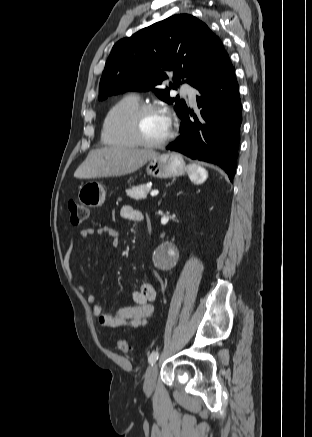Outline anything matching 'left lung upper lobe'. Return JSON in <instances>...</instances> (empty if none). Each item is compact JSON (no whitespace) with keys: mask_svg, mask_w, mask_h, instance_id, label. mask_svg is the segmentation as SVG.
Segmentation results:
<instances>
[{"mask_svg":"<svg viewBox=\"0 0 312 437\" xmlns=\"http://www.w3.org/2000/svg\"><path fill=\"white\" fill-rule=\"evenodd\" d=\"M225 52L220 39L202 21L188 14L171 16L118 41L105 65L99 100L126 91L153 90L180 116L184 100L170 98L169 89H154L173 74L174 83L197 87ZM170 88L175 85L170 83Z\"/></svg>","mask_w":312,"mask_h":437,"instance_id":"5c2ea615","label":"left lung upper lobe"}]
</instances>
